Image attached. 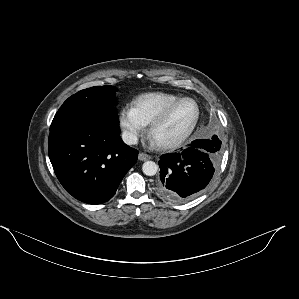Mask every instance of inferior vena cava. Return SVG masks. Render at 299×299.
I'll list each match as a JSON object with an SVG mask.
<instances>
[{
    "label": "inferior vena cava",
    "instance_id": "inferior-vena-cava-1",
    "mask_svg": "<svg viewBox=\"0 0 299 299\" xmlns=\"http://www.w3.org/2000/svg\"><path fill=\"white\" fill-rule=\"evenodd\" d=\"M122 140L128 145H135L138 143L137 135L129 131H124L122 133Z\"/></svg>",
    "mask_w": 299,
    "mask_h": 299
}]
</instances>
